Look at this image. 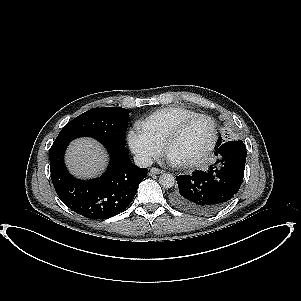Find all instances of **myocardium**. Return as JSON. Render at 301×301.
I'll use <instances>...</instances> for the list:
<instances>
[{
    "mask_svg": "<svg viewBox=\"0 0 301 301\" xmlns=\"http://www.w3.org/2000/svg\"><path fill=\"white\" fill-rule=\"evenodd\" d=\"M196 120H206L210 123L211 128H212V136L210 139V143L206 149V151L200 156L198 157L196 160L193 161H189L186 162L184 165L187 168H196V167H200L204 164H206L209 159L210 156L212 154V152L215 149L216 143H217V138H218V132H217V126L215 121L208 115H204V114H196L192 117H189L187 119H185L184 121H182L181 123H179L165 138L164 140V150L166 152H168L170 145L172 144V142L174 140H176L177 138H179L183 132L185 131V129L194 121Z\"/></svg>",
    "mask_w": 301,
    "mask_h": 301,
    "instance_id": "1",
    "label": "myocardium"
}]
</instances>
